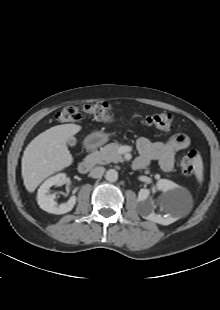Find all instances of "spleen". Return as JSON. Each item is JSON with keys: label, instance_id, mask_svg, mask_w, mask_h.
Returning <instances> with one entry per match:
<instances>
[{"label": "spleen", "instance_id": "1", "mask_svg": "<svg viewBox=\"0 0 220 310\" xmlns=\"http://www.w3.org/2000/svg\"><path fill=\"white\" fill-rule=\"evenodd\" d=\"M194 172H195L197 180L199 182H202L203 181V166H202V162L200 158L196 160Z\"/></svg>", "mask_w": 220, "mask_h": 310}]
</instances>
